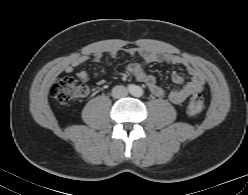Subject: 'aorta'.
<instances>
[{
  "label": "aorta",
  "instance_id": "obj_1",
  "mask_svg": "<svg viewBox=\"0 0 248 195\" xmlns=\"http://www.w3.org/2000/svg\"><path fill=\"white\" fill-rule=\"evenodd\" d=\"M132 95L135 97H140L143 95V90L139 86H135L132 90Z\"/></svg>",
  "mask_w": 248,
  "mask_h": 195
}]
</instances>
